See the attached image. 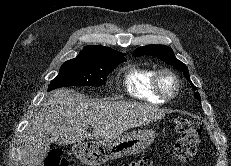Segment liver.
<instances>
[{"instance_id":"liver-1","label":"liver","mask_w":231,"mask_h":166,"mask_svg":"<svg viewBox=\"0 0 231 166\" xmlns=\"http://www.w3.org/2000/svg\"><path fill=\"white\" fill-rule=\"evenodd\" d=\"M155 105L95 101L70 89L52 93L23 135L22 166H40L50 143L67 145L88 139H115L130 128L165 117ZM93 128L92 133L87 130Z\"/></svg>"}]
</instances>
